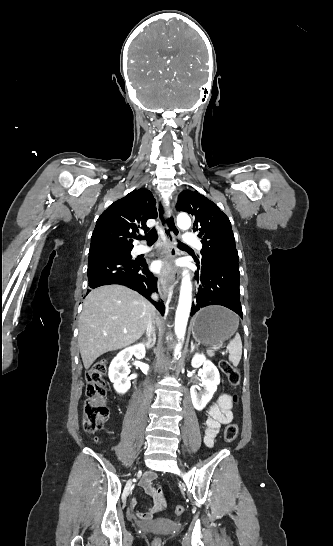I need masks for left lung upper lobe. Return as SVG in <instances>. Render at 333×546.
<instances>
[{
  "instance_id": "1",
  "label": "left lung upper lobe",
  "mask_w": 333,
  "mask_h": 546,
  "mask_svg": "<svg viewBox=\"0 0 333 546\" xmlns=\"http://www.w3.org/2000/svg\"><path fill=\"white\" fill-rule=\"evenodd\" d=\"M177 211L190 213L194 231H198L203 248L198 266L238 264V252L229 218L219 207L197 191L185 190L178 196Z\"/></svg>"
}]
</instances>
